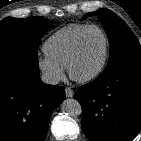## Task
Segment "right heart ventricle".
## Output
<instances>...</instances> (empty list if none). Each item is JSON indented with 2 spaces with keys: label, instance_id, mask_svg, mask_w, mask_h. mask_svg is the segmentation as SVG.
Segmentation results:
<instances>
[{
  "label": "right heart ventricle",
  "instance_id": "right-heart-ventricle-1",
  "mask_svg": "<svg viewBox=\"0 0 141 141\" xmlns=\"http://www.w3.org/2000/svg\"><path fill=\"white\" fill-rule=\"evenodd\" d=\"M88 26L89 24L74 23L57 30L43 45L45 55L63 67L67 66L78 36Z\"/></svg>",
  "mask_w": 141,
  "mask_h": 141
}]
</instances>
